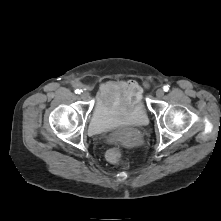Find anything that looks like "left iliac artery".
<instances>
[{"instance_id": "left-iliac-artery-1", "label": "left iliac artery", "mask_w": 221, "mask_h": 221, "mask_svg": "<svg viewBox=\"0 0 221 221\" xmlns=\"http://www.w3.org/2000/svg\"><path fill=\"white\" fill-rule=\"evenodd\" d=\"M169 90V86L168 85H166V86H164V91H168Z\"/></svg>"}]
</instances>
